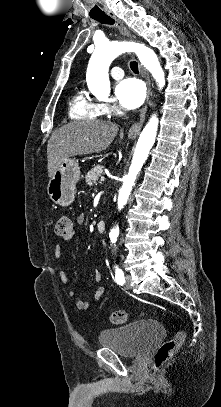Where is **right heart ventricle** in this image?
<instances>
[{
	"instance_id": "right-heart-ventricle-1",
	"label": "right heart ventricle",
	"mask_w": 221,
	"mask_h": 407,
	"mask_svg": "<svg viewBox=\"0 0 221 407\" xmlns=\"http://www.w3.org/2000/svg\"><path fill=\"white\" fill-rule=\"evenodd\" d=\"M104 112L99 105L87 97L81 89L76 90L69 101L68 116L74 120H96Z\"/></svg>"
}]
</instances>
